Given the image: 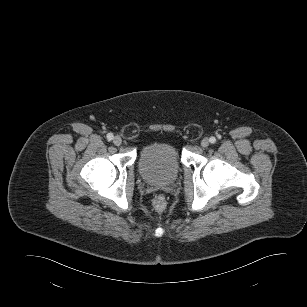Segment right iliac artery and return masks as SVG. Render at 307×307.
<instances>
[{"label":"right iliac artery","instance_id":"1","mask_svg":"<svg viewBox=\"0 0 307 307\" xmlns=\"http://www.w3.org/2000/svg\"><path fill=\"white\" fill-rule=\"evenodd\" d=\"M113 134L112 133H108L107 134V139L110 141V140H112L113 139Z\"/></svg>","mask_w":307,"mask_h":307}]
</instances>
